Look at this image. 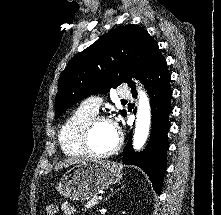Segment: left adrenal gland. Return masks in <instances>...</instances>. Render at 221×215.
Segmentation results:
<instances>
[{
    "mask_svg": "<svg viewBox=\"0 0 221 215\" xmlns=\"http://www.w3.org/2000/svg\"><path fill=\"white\" fill-rule=\"evenodd\" d=\"M123 188H125V185H122L121 188H119L118 190H116V192L119 191V190H121V189H123ZM113 194H114V192H112V194H111L110 196H112ZM110 196H109V197H110Z\"/></svg>",
    "mask_w": 221,
    "mask_h": 215,
    "instance_id": "left-adrenal-gland-1",
    "label": "left adrenal gland"
}]
</instances>
